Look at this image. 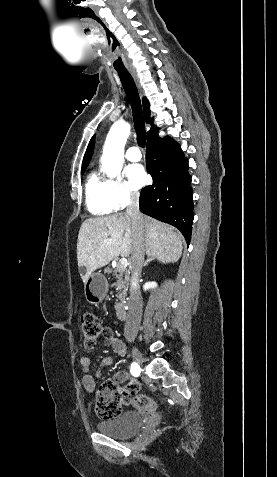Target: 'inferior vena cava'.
<instances>
[{
    "label": "inferior vena cava",
    "mask_w": 277,
    "mask_h": 477,
    "mask_svg": "<svg viewBox=\"0 0 277 477\" xmlns=\"http://www.w3.org/2000/svg\"><path fill=\"white\" fill-rule=\"evenodd\" d=\"M126 214L131 218L133 228L132 275L130 288L129 311L125 323L124 335L128 340L136 337L141 316L142 301L140 297V277L144 265V222L139 211V193L132 192Z\"/></svg>",
    "instance_id": "1"
}]
</instances>
